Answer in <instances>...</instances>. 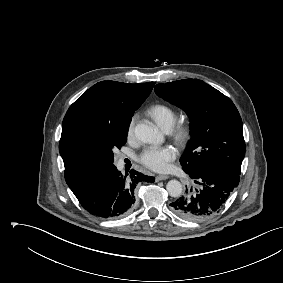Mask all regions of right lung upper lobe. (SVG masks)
Masks as SVG:
<instances>
[{
	"label": "right lung upper lobe",
	"instance_id": "1",
	"mask_svg": "<svg viewBox=\"0 0 283 283\" xmlns=\"http://www.w3.org/2000/svg\"><path fill=\"white\" fill-rule=\"evenodd\" d=\"M154 84L101 81L70 106L62 123L59 142L65 180L70 189L106 170L96 156L81 147L79 138L101 126L131 120Z\"/></svg>",
	"mask_w": 283,
	"mask_h": 283
}]
</instances>
